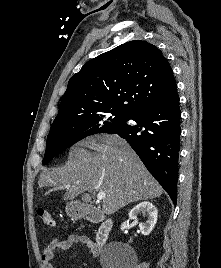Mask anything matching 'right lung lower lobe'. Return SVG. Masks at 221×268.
<instances>
[{
	"label": "right lung lower lobe",
	"instance_id": "right-lung-lower-lobe-1",
	"mask_svg": "<svg viewBox=\"0 0 221 268\" xmlns=\"http://www.w3.org/2000/svg\"><path fill=\"white\" fill-rule=\"evenodd\" d=\"M180 116L177 97L138 111L130 118L137 125L126 123L108 132L130 144L174 204L177 202Z\"/></svg>",
	"mask_w": 221,
	"mask_h": 268
}]
</instances>
